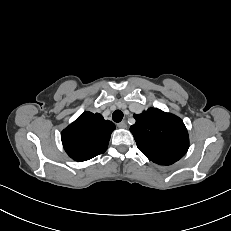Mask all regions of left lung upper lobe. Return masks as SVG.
<instances>
[{
  "mask_svg": "<svg viewBox=\"0 0 231 231\" xmlns=\"http://www.w3.org/2000/svg\"><path fill=\"white\" fill-rule=\"evenodd\" d=\"M130 127L139 150L159 165H171L181 159L189 147V136L183 121L160 109L149 108L134 115Z\"/></svg>",
  "mask_w": 231,
  "mask_h": 231,
  "instance_id": "5c2ea615",
  "label": "left lung upper lobe"
}]
</instances>
